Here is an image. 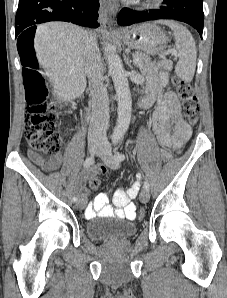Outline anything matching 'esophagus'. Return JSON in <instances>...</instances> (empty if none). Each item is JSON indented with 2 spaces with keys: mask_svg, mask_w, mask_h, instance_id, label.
<instances>
[{
  "mask_svg": "<svg viewBox=\"0 0 227 298\" xmlns=\"http://www.w3.org/2000/svg\"><path fill=\"white\" fill-rule=\"evenodd\" d=\"M108 7L111 15L115 16L119 8L118 2L116 0H108ZM101 22L104 23L103 15H102V18L100 19V23Z\"/></svg>",
  "mask_w": 227,
  "mask_h": 298,
  "instance_id": "1",
  "label": "esophagus"
}]
</instances>
